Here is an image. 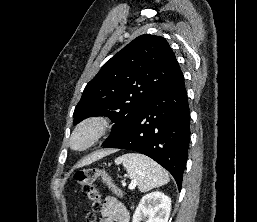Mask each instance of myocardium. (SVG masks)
<instances>
[{
	"label": "myocardium",
	"instance_id": "myocardium-1",
	"mask_svg": "<svg viewBox=\"0 0 257 222\" xmlns=\"http://www.w3.org/2000/svg\"><path fill=\"white\" fill-rule=\"evenodd\" d=\"M111 127H112L111 120L106 115L97 114V115L88 116L83 120H81L74 127L70 136L69 145L75 151H85L93 147L95 144H97L109 132ZM86 129L92 132V137L90 141L82 147H76L74 145V139L76 135L80 131L86 130Z\"/></svg>",
	"mask_w": 257,
	"mask_h": 222
}]
</instances>
